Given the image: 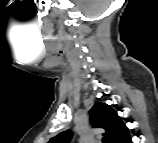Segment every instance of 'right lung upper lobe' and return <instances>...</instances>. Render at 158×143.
I'll use <instances>...</instances> for the list:
<instances>
[{
    "label": "right lung upper lobe",
    "mask_w": 158,
    "mask_h": 143,
    "mask_svg": "<svg viewBox=\"0 0 158 143\" xmlns=\"http://www.w3.org/2000/svg\"><path fill=\"white\" fill-rule=\"evenodd\" d=\"M89 113L92 126L104 129L110 143H125L130 138L128 128L109 105L97 102ZM72 136V132L67 130L51 138L49 143H68Z\"/></svg>",
    "instance_id": "1"
}]
</instances>
